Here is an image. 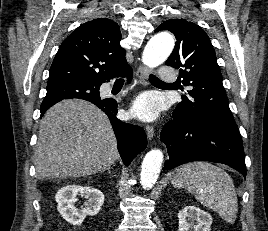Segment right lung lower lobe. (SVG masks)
Segmentation results:
<instances>
[{
  "label": "right lung lower lobe",
  "mask_w": 268,
  "mask_h": 231,
  "mask_svg": "<svg viewBox=\"0 0 268 231\" xmlns=\"http://www.w3.org/2000/svg\"><path fill=\"white\" fill-rule=\"evenodd\" d=\"M132 68L128 65L119 76H126L130 82L132 78ZM98 106L106 113L112 124L117 138V145L120 156L125 165H129L132 159L147 146V138L144 130L132 124L120 121L117 117V102L114 99H103L100 97L85 99ZM46 111H41V116Z\"/></svg>",
  "instance_id": "right-lung-lower-lobe-1"
}]
</instances>
